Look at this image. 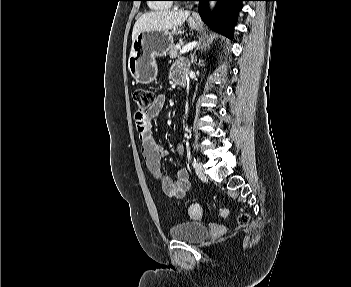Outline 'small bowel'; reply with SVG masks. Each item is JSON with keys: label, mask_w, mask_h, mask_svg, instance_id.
<instances>
[{"label": "small bowel", "mask_w": 351, "mask_h": 287, "mask_svg": "<svg viewBox=\"0 0 351 287\" xmlns=\"http://www.w3.org/2000/svg\"><path fill=\"white\" fill-rule=\"evenodd\" d=\"M183 64L177 63L173 66V71L177 74H182ZM166 103V96L158 94L151 108L144 114H135L136 129L141 141V152L145 160L146 167L159 182L163 192L175 198L183 197L190 189L189 173L186 168H180L176 172L175 180L161 170V159L168 155L165 150L157 141L156 137L151 131V120L159 115ZM177 153L183 154V146L177 145Z\"/></svg>", "instance_id": "c3829d8e"}]
</instances>
